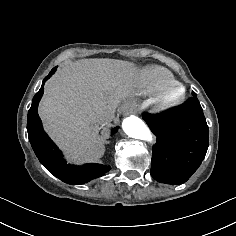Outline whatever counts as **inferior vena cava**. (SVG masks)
I'll list each match as a JSON object with an SVG mask.
<instances>
[{
  "mask_svg": "<svg viewBox=\"0 0 236 236\" xmlns=\"http://www.w3.org/2000/svg\"><path fill=\"white\" fill-rule=\"evenodd\" d=\"M113 118H114V113H108V114H103L101 120L104 123H109L113 120Z\"/></svg>",
  "mask_w": 236,
  "mask_h": 236,
  "instance_id": "obj_1",
  "label": "inferior vena cava"
}]
</instances>
